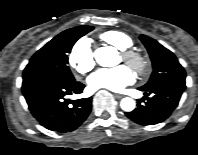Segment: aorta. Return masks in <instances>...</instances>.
Masks as SVG:
<instances>
[{"mask_svg": "<svg viewBox=\"0 0 198 155\" xmlns=\"http://www.w3.org/2000/svg\"><path fill=\"white\" fill-rule=\"evenodd\" d=\"M96 62L100 66L113 67L118 63V55L113 47H100L94 52ZM136 103L132 98L125 97L120 102L123 111L131 112L135 109Z\"/></svg>", "mask_w": 198, "mask_h": 155, "instance_id": "762f6f07", "label": "aorta"}]
</instances>
